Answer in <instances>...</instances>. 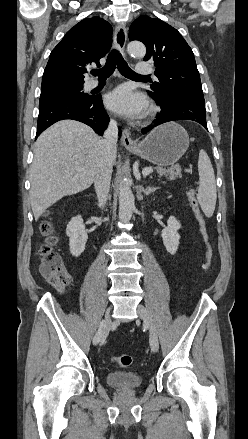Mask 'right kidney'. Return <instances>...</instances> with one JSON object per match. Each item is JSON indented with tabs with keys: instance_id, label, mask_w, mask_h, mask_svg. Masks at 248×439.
Segmentation results:
<instances>
[{
	"instance_id": "obj_1",
	"label": "right kidney",
	"mask_w": 248,
	"mask_h": 439,
	"mask_svg": "<svg viewBox=\"0 0 248 439\" xmlns=\"http://www.w3.org/2000/svg\"><path fill=\"white\" fill-rule=\"evenodd\" d=\"M66 235L69 237L70 253L78 257L85 250L88 240L85 225L80 215L73 217L66 228Z\"/></svg>"
}]
</instances>
